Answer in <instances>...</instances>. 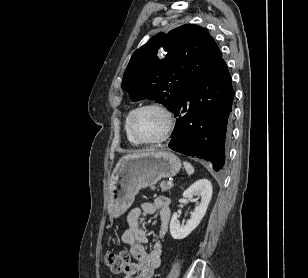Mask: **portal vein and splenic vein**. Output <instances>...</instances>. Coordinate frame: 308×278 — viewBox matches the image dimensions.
Returning a JSON list of instances; mask_svg holds the SVG:
<instances>
[{
    "label": "portal vein and splenic vein",
    "instance_id": "1",
    "mask_svg": "<svg viewBox=\"0 0 308 278\" xmlns=\"http://www.w3.org/2000/svg\"><path fill=\"white\" fill-rule=\"evenodd\" d=\"M172 184H173L172 181L167 182V185H169V186H171Z\"/></svg>",
    "mask_w": 308,
    "mask_h": 278
}]
</instances>
